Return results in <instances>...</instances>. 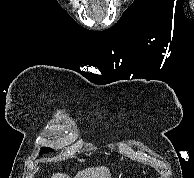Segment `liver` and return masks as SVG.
I'll return each mask as SVG.
<instances>
[{
  "instance_id": "1",
  "label": "liver",
  "mask_w": 194,
  "mask_h": 178,
  "mask_svg": "<svg viewBox=\"0 0 194 178\" xmlns=\"http://www.w3.org/2000/svg\"><path fill=\"white\" fill-rule=\"evenodd\" d=\"M51 178H70L68 175L63 173H55ZM75 178H111V174L106 167H93L79 171Z\"/></svg>"
}]
</instances>
